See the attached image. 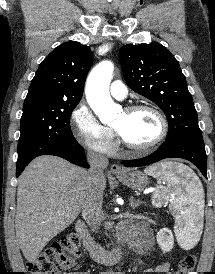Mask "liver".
Instances as JSON below:
<instances>
[{
	"label": "liver",
	"mask_w": 215,
	"mask_h": 274,
	"mask_svg": "<svg viewBox=\"0 0 215 274\" xmlns=\"http://www.w3.org/2000/svg\"><path fill=\"white\" fill-rule=\"evenodd\" d=\"M88 171L55 156L35 158L18 181L15 230L19 247L30 263L79 215ZM103 190L106 177L102 178Z\"/></svg>",
	"instance_id": "6515ba94"
}]
</instances>
